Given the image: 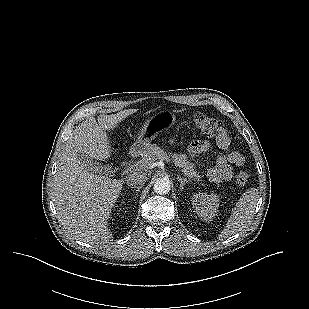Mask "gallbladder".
<instances>
[{
	"label": "gallbladder",
	"instance_id": "obj_1",
	"mask_svg": "<svg viewBox=\"0 0 309 309\" xmlns=\"http://www.w3.org/2000/svg\"><path fill=\"white\" fill-rule=\"evenodd\" d=\"M78 160L80 164L91 173H109L110 169L103 166L99 162L93 161L87 155L78 153Z\"/></svg>",
	"mask_w": 309,
	"mask_h": 309
}]
</instances>
